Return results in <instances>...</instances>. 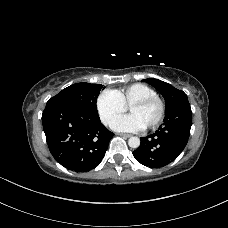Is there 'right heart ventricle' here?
<instances>
[{
    "instance_id": "1",
    "label": "right heart ventricle",
    "mask_w": 228,
    "mask_h": 228,
    "mask_svg": "<svg viewBox=\"0 0 228 228\" xmlns=\"http://www.w3.org/2000/svg\"><path fill=\"white\" fill-rule=\"evenodd\" d=\"M115 92L125 106H129L138 99L157 95L152 87L143 83H135L125 88L115 90Z\"/></svg>"
}]
</instances>
